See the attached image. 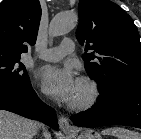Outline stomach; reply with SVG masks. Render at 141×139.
<instances>
[{"label":"stomach","mask_w":141,"mask_h":139,"mask_svg":"<svg viewBox=\"0 0 141 139\" xmlns=\"http://www.w3.org/2000/svg\"><path fill=\"white\" fill-rule=\"evenodd\" d=\"M73 139H102L101 135L92 129H86L80 134H75Z\"/></svg>","instance_id":"0dacf381"}]
</instances>
